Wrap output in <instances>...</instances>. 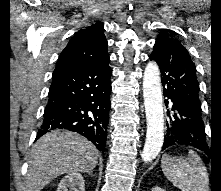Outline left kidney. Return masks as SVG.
<instances>
[{
    "instance_id": "left-kidney-1",
    "label": "left kidney",
    "mask_w": 221,
    "mask_h": 191,
    "mask_svg": "<svg viewBox=\"0 0 221 191\" xmlns=\"http://www.w3.org/2000/svg\"><path fill=\"white\" fill-rule=\"evenodd\" d=\"M151 191H165V190L160 187L155 186L154 188H152Z\"/></svg>"
}]
</instances>
